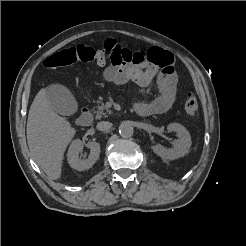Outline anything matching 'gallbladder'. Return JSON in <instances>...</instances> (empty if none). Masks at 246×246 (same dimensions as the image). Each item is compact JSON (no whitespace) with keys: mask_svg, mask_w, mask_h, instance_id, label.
<instances>
[{"mask_svg":"<svg viewBox=\"0 0 246 246\" xmlns=\"http://www.w3.org/2000/svg\"><path fill=\"white\" fill-rule=\"evenodd\" d=\"M46 96L53 111L63 116H70L78 109L72 93L63 85L53 84L46 89Z\"/></svg>","mask_w":246,"mask_h":246,"instance_id":"1","label":"gallbladder"}]
</instances>
